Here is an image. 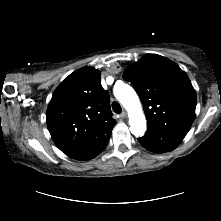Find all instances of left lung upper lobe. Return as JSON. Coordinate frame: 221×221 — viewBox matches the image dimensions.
Here are the masks:
<instances>
[{
  "label": "left lung upper lobe",
  "mask_w": 221,
  "mask_h": 221,
  "mask_svg": "<svg viewBox=\"0 0 221 221\" xmlns=\"http://www.w3.org/2000/svg\"><path fill=\"white\" fill-rule=\"evenodd\" d=\"M138 93L148 127L187 133L195 118L196 93L184 71L171 60L147 54L123 74Z\"/></svg>",
  "instance_id": "left-lung-upper-lobe-1"
}]
</instances>
